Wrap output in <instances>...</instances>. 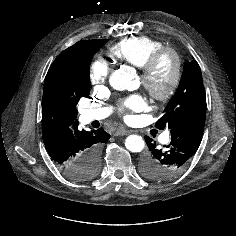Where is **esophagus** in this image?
I'll list each match as a JSON object with an SVG mask.
<instances>
[{"mask_svg":"<svg viewBox=\"0 0 236 236\" xmlns=\"http://www.w3.org/2000/svg\"><path fill=\"white\" fill-rule=\"evenodd\" d=\"M130 132L125 129H118L114 134L116 136H125L128 135Z\"/></svg>","mask_w":236,"mask_h":236,"instance_id":"obj_1","label":"esophagus"}]
</instances>
